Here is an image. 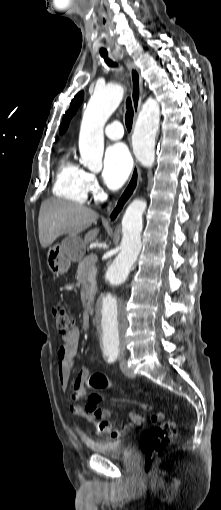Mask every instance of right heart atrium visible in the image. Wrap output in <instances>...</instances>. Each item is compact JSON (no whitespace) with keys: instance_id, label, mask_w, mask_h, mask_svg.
<instances>
[{"instance_id":"right-heart-atrium-1","label":"right heart atrium","mask_w":221,"mask_h":510,"mask_svg":"<svg viewBox=\"0 0 221 510\" xmlns=\"http://www.w3.org/2000/svg\"><path fill=\"white\" fill-rule=\"evenodd\" d=\"M86 186L88 192H91L93 195H97L100 191L98 179L93 173L87 172L86 175Z\"/></svg>"}]
</instances>
